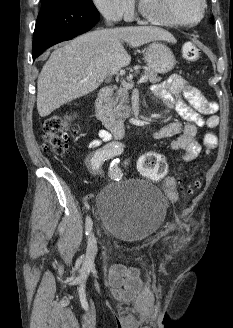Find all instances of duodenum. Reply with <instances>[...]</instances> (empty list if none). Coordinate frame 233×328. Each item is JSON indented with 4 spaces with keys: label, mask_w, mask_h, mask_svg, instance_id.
<instances>
[{
    "label": "duodenum",
    "mask_w": 233,
    "mask_h": 328,
    "mask_svg": "<svg viewBox=\"0 0 233 328\" xmlns=\"http://www.w3.org/2000/svg\"><path fill=\"white\" fill-rule=\"evenodd\" d=\"M111 88L102 89L95 101V114L98 120L115 136L121 135L124 122L122 118L115 117L108 107V101L111 95Z\"/></svg>",
    "instance_id": "410a0bca"
}]
</instances>
